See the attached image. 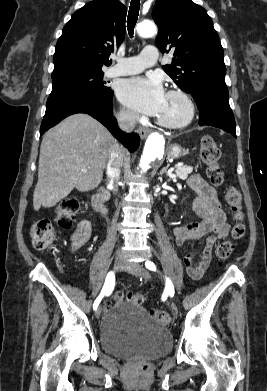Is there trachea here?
<instances>
[{
	"label": "trachea",
	"instance_id": "3493384b",
	"mask_svg": "<svg viewBox=\"0 0 267 391\" xmlns=\"http://www.w3.org/2000/svg\"><path fill=\"white\" fill-rule=\"evenodd\" d=\"M140 9V0H131L128 16H127V29L130 37H133L134 28L138 19Z\"/></svg>",
	"mask_w": 267,
	"mask_h": 391
}]
</instances>
